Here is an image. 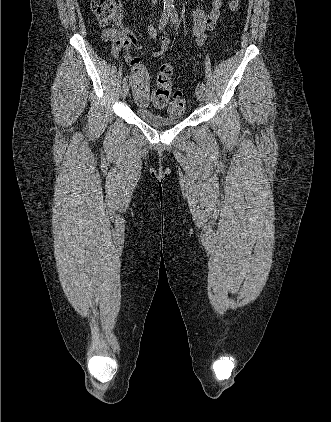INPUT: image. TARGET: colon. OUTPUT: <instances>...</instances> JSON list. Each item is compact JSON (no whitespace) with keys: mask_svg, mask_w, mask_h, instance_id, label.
<instances>
[{"mask_svg":"<svg viewBox=\"0 0 331 422\" xmlns=\"http://www.w3.org/2000/svg\"><path fill=\"white\" fill-rule=\"evenodd\" d=\"M241 0H232L230 8L236 11L240 7ZM92 10L101 25H106L110 21L120 20L117 0H92ZM173 74V66L170 63L161 65L158 74V83L156 89L152 93V101L154 106L158 108L165 107L168 102V113L171 116H180L184 113L186 102L180 91L171 92V78ZM131 75L138 78L142 82L149 79L147 68L140 64L133 67ZM138 99L141 102L147 100V91L142 88L138 90Z\"/></svg>","mask_w":331,"mask_h":422,"instance_id":"1","label":"colon"}]
</instances>
